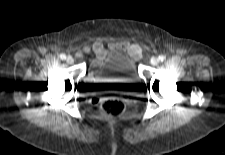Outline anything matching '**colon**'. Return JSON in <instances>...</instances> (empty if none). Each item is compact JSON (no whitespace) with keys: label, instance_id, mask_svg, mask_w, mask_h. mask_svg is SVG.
Returning a JSON list of instances; mask_svg holds the SVG:
<instances>
[{"label":"colon","instance_id":"obj_1","mask_svg":"<svg viewBox=\"0 0 225 155\" xmlns=\"http://www.w3.org/2000/svg\"><path fill=\"white\" fill-rule=\"evenodd\" d=\"M93 103L99 107L102 116L106 119L121 117L126 112L125 101L118 96L95 99Z\"/></svg>","mask_w":225,"mask_h":155}]
</instances>
